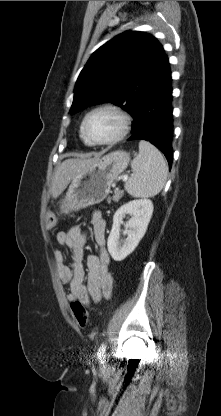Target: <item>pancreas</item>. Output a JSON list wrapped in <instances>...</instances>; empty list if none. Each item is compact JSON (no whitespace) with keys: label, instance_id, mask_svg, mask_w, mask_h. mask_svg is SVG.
<instances>
[{"label":"pancreas","instance_id":"cf45deb5","mask_svg":"<svg viewBox=\"0 0 221 416\" xmlns=\"http://www.w3.org/2000/svg\"><path fill=\"white\" fill-rule=\"evenodd\" d=\"M122 196H123V192L122 191H116L114 193V195L112 196V198L111 197H108L107 202H108V204L111 203V200H113L114 202H118L122 198Z\"/></svg>","mask_w":221,"mask_h":416}]
</instances>
